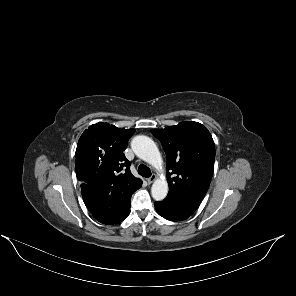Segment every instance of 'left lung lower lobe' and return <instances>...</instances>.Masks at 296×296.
<instances>
[{
  "instance_id": "obj_1",
  "label": "left lung lower lobe",
  "mask_w": 296,
  "mask_h": 296,
  "mask_svg": "<svg viewBox=\"0 0 296 296\" xmlns=\"http://www.w3.org/2000/svg\"><path fill=\"white\" fill-rule=\"evenodd\" d=\"M198 204H183L169 200H163L161 202H155V208L158 214L170 221H181L191 216Z\"/></svg>"
}]
</instances>
